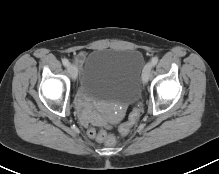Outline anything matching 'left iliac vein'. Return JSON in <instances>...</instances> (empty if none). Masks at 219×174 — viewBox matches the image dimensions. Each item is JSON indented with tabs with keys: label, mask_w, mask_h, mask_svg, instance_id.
<instances>
[{
	"label": "left iliac vein",
	"mask_w": 219,
	"mask_h": 174,
	"mask_svg": "<svg viewBox=\"0 0 219 174\" xmlns=\"http://www.w3.org/2000/svg\"><path fill=\"white\" fill-rule=\"evenodd\" d=\"M152 63H147L142 72V83L146 84L150 78L151 72H152Z\"/></svg>",
	"instance_id": "4c4485c4"
}]
</instances>
